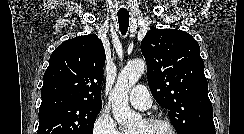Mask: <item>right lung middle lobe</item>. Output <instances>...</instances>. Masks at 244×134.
Segmentation results:
<instances>
[{
    "label": "right lung middle lobe",
    "instance_id": "1",
    "mask_svg": "<svg viewBox=\"0 0 244 134\" xmlns=\"http://www.w3.org/2000/svg\"><path fill=\"white\" fill-rule=\"evenodd\" d=\"M102 105H90L64 99L41 103L37 134H93V126Z\"/></svg>",
    "mask_w": 244,
    "mask_h": 134
}]
</instances>
